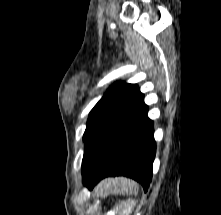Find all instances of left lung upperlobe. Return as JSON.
Wrapping results in <instances>:
<instances>
[{"label":"left lung upper lobe","instance_id":"5c2ea615","mask_svg":"<svg viewBox=\"0 0 221 215\" xmlns=\"http://www.w3.org/2000/svg\"><path fill=\"white\" fill-rule=\"evenodd\" d=\"M142 96L136 84H113L89 114L83 135L85 143L82 176L89 172L113 122Z\"/></svg>","mask_w":221,"mask_h":215}]
</instances>
